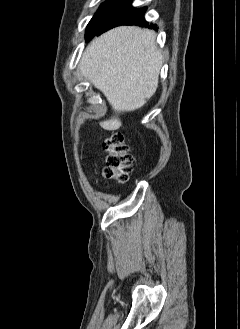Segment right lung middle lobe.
Here are the masks:
<instances>
[{"instance_id":"1","label":"right lung middle lobe","mask_w":240,"mask_h":329,"mask_svg":"<svg viewBox=\"0 0 240 329\" xmlns=\"http://www.w3.org/2000/svg\"><path fill=\"white\" fill-rule=\"evenodd\" d=\"M122 0H109L104 2L99 7L98 11L95 13L86 29V39L89 40L92 38L94 32L97 30L101 22L107 16V14L116 7Z\"/></svg>"}]
</instances>
